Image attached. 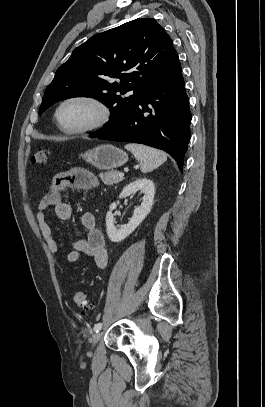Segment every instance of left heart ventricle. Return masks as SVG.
<instances>
[{"label":"left heart ventricle","mask_w":265,"mask_h":407,"mask_svg":"<svg viewBox=\"0 0 265 407\" xmlns=\"http://www.w3.org/2000/svg\"><path fill=\"white\" fill-rule=\"evenodd\" d=\"M96 117V110L85 103L67 104L60 112V120L67 126L78 127L91 122Z\"/></svg>","instance_id":"obj_1"}]
</instances>
